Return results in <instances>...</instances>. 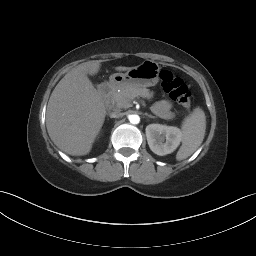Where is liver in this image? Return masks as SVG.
Instances as JSON below:
<instances>
[{
  "label": "liver",
  "mask_w": 256,
  "mask_h": 256,
  "mask_svg": "<svg viewBox=\"0 0 256 256\" xmlns=\"http://www.w3.org/2000/svg\"><path fill=\"white\" fill-rule=\"evenodd\" d=\"M132 68L118 66L115 70ZM99 70V61L78 65L59 81L50 96L47 131L54 144L66 154H88L104 123V101L88 78V74L95 75Z\"/></svg>",
  "instance_id": "obj_1"
}]
</instances>
